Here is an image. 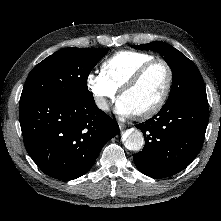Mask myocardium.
Masks as SVG:
<instances>
[{
    "label": "myocardium",
    "mask_w": 221,
    "mask_h": 221,
    "mask_svg": "<svg viewBox=\"0 0 221 221\" xmlns=\"http://www.w3.org/2000/svg\"><path fill=\"white\" fill-rule=\"evenodd\" d=\"M158 63L164 65L167 71V83H166L165 90L162 96L160 97V99L152 107L144 111L134 113V116L139 119H147V118L154 116L166 104L169 98V95L171 93V90H172V85H173V70L170 64L166 60L160 59V58H154L150 61H147L146 63L141 65L119 89V99H120L124 93L132 89L141 80L143 75L146 73V71L150 67Z\"/></svg>",
    "instance_id": "f54148a6"
}]
</instances>
